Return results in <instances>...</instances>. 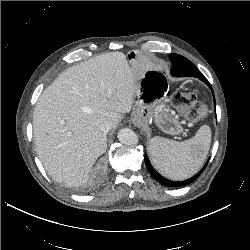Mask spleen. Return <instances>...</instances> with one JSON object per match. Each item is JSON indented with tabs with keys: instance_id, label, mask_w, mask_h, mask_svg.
Wrapping results in <instances>:
<instances>
[{
	"instance_id": "1",
	"label": "spleen",
	"mask_w": 250,
	"mask_h": 250,
	"mask_svg": "<svg viewBox=\"0 0 250 250\" xmlns=\"http://www.w3.org/2000/svg\"><path fill=\"white\" fill-rule=\"evenodd\" d=\"M211 143V129L203 125L194 137L177 142L160 136L149 142V155L154 167L165 177L184 180L202 166Z\"/></svg>"
}]
</instances>
